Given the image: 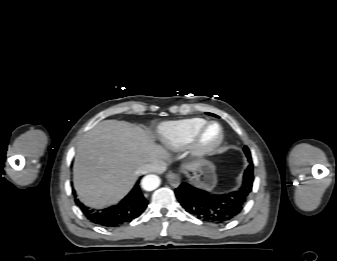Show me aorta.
Instances as JSON below:
<instances>
[{
	"label": "aorta",
	"mask_w": 337,
	"mask_h": 261,
	"mask_svg": "<svg viewBox=\"0 0 337 261\" xmlns=\"http://www.w3.org/2000/svg\"><path fill=\"white\" fill-rule=\"evenodd\" d=\"M142 187L146 191H153L160 185V178L156 175H147L142 179Z\"/></svg>",
	"instance_id": "1"
}]
</instances>
